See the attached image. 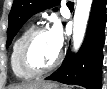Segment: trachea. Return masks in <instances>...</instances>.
Returning a JSON list of instances; mask_svg holds the SVG:
<instances>
[{
  "mask_svg": "<svg viewBox=\"0 0 107 89\" xmlns=\"http://www.w3.org/2000/svg\"><path fill=\"white\" fill-rule=\"evenodd\" d=\"M67 5H68V6H73L74 3H73V2H68Z\"/></svg>",
  "mask_w": 107,
  "mask_h": 89,
  "instance_id": "1",
  "label": "trachea"
}]
</instances>
